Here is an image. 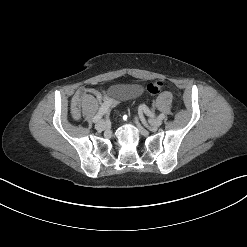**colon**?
I'll list each match as a JSON object with an SVG mask.
<instances>
[{
    "instance_id": "obj_1",
    "label": "colon",
    "mask_w": 247,
    "mask_h": 247,
    "mask_svg": "<svg viewBox=\"0 0 247 247\" xmlns=\"http://www.w3.org/2000/svg\"><path fill=\"white\" fill-rule=\"evenodd\" d=\"M163 88V83L160 81H152L147 85V90L149 93L156 95L161 92Z\"/></svg>"
}]
</instances>
